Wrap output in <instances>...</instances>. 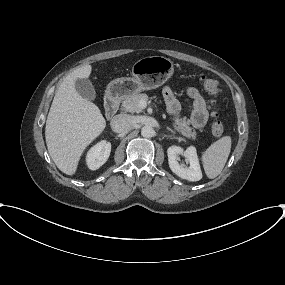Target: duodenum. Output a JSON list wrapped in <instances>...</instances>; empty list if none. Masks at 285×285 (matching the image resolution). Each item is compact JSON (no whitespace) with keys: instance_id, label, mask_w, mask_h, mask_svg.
<instances>
[{"instance_id":"410a0bca","label":"duodenum","mask_w":285,"mask_h":285,"mask_svg":"<svg viewBox=\"0 0 285 285\" xmlns=\"http://www.w3.org/2000/svg\"><path fill=\"white\" fill-rule=\"evenodd\" d=\"M120 105V99L114 92H109L105 99V116L107 119L113 118Z\"/></svg>"}]
</instances>
